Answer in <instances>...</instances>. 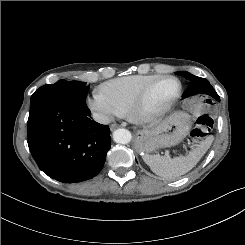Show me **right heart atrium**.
<instances>
[{
  "label": "right heart atrium",
  "instance_id": "obj_1",
  "mask_svg": "<svg viewBox=\"0 0 245 245\" xmlns=\"http://www.w3.org/2000/svg\"><path fill=\"white\" fill-rule=\"evenodd\" d=\"M86 105L93 113L95 119L100 123H109L114 118L123 115L99 90L93 92V94L86 99Z\"/></svg>",
  "mask_w": 245,
  "mask_h": 245
}]
</instances>
